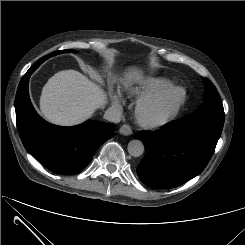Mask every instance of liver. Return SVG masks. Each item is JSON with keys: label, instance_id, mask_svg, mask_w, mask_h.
Returning <instances> with one entry per match:
<instances>
[{"label": "liver", "instance_id": "6515ba94", "mask_svg": "<svg viewBox=\"0 0 245 245\" xmlns=\"http://www.w3.org/2000/svg\"><path fill=\"white\" fill-rule=\"evenodd\" d=\"M128 81H141L142 74L136 66L126 72ZM106 103L103 90L76 70L59 71L42 89L40 110L49 122L73 126L89 119L95 110Z\"/></svg>", "mask_w": 245, "mask_h": 245}]
</instances>
